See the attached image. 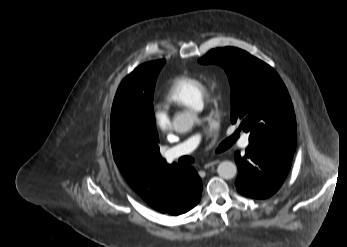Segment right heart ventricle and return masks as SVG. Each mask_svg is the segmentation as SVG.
Here are the masks:
<instances>
[{
	"label": "right heart ventricle",
	"mask_w": 347,
	"mask_h": 247,
	"mask_svg": "<svg viewBox=\"0 0 347 247\" xmlns=\"http://www.w3.org/2000/svg\"><path fill=\"white\" fill-rule=\"evenodd\" d=\"M205 85L193 75H178L172 78L165 90L163 100L176 107L198 109L203 103Z\"/></svg>",
	"instance_id": "right-heart-ventricle-1"
}]
</instances>
